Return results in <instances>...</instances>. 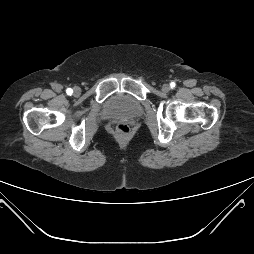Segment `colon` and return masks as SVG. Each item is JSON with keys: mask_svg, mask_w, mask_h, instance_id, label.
<instances>
[{"mask_svg": "<svg viewBox=\"0 0 254 254\" xmlns=\"http://www.w3.org/2000/svg\"><path fill=\"white\" fill-rule=\"evenodd\" d=\"M116 131L119 135L125 136L129 133L130 129L129 126L125 123H120L116 127Z\"/></svg>", "mask_w": 254, "mask_h": 254, "instance_id": "obj_1", "label": "colon"}]
</instances>
